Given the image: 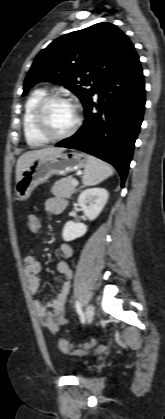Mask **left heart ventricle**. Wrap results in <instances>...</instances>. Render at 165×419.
I'll return each mask as SVG.
<instances>
[{"mask_svg":"<svg viewBox=\"0 0 165 419\" xmlns=\"http://www.w3.org/2000/svg\"><path fill=\"white\" fill-rule=\"evenodd\" d=\"M75 117L74 107L61 101L51 103L45 113L48 128L53 134L66 132L73 125Z\"/></svg>","mask_w":165,"mask_h":419,"instance_id":"1","label":"left heart ventricle"}]
</instances>
